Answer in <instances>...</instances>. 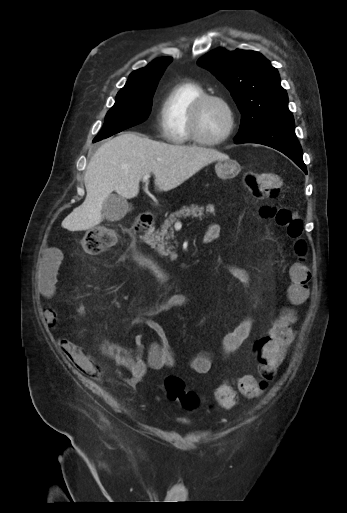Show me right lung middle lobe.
Here are the masks:
<instances>
[{"instance_id":"dd1d6c3e","label":"right lung middle lobe","mask_w":347,"mask_h":513,"mask_svg":"<svg viewBox=\"0 0 347 513\" xmlns=\"http://www.w3.org/2000/svg\"><path fill=\"white\" fill-rule=\"evenodd\" d=\"M158 82L134 90L121 89L114 106L105 117V124L93 142L144 122L151 111L152 98Z\"/></svg>"}]
</instances>
